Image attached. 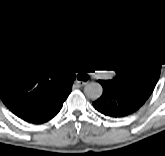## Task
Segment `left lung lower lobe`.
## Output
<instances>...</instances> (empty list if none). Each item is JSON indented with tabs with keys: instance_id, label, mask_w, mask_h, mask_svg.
Returning <instances> with one entry per match:
<instances>
[{
	"instance_id": "obj_1",
	"label": "left lung lower lobe",
	"mask_w": 165,
	"mask_h": 156,
	"mask_svg": "<svg viewBox=\"0 0 165 156\" xmlns=\"http://www.w3.org/2000/svg\"><path fill=\"white\" fill-rule=\"evenodd\" d=\"M103 87L102 96L93 102L94 108L110 117H123L137 111L145 101L122 89L112 80H98Z\"/></svg>"
}]
</instances>
